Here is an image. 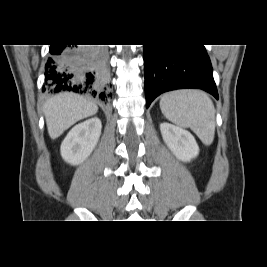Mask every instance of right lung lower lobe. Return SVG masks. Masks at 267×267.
<instances>
[{"mask_svg":"<svg viewBox=\"0 0 267 267\" xmlns=\"http://www.w3.org/2000/svg\"><path fill=\"white\" fill-rule=\"evenodd\" d=\"M50 53L52 56L45 65L43 91H72L102 101L111 96L104 47L76 49L66 45H52Z\"/></svg>","mask_w":267,"mask_h":267,"instance_id":"1","label":"right lung lower lobe"}]
</instances>
